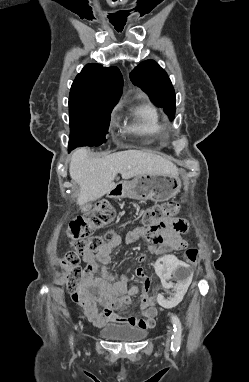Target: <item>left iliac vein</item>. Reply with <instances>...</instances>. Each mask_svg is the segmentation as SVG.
<instances>
[{"label":"left iliac vein","mask_w":249,"mask_h":382,"mask_svg":"<svg viewBox=\"0 0 249 382\" xmlns=\"http://www.w3.org/2000/svg\"><path fill=\"white\" fill-rule=\"evenodd\" d=\"M168 332H169V334L171 333V328L170 327H168Z\"/></svg>","instance_id":"4c4485c4"}]
</instances>
